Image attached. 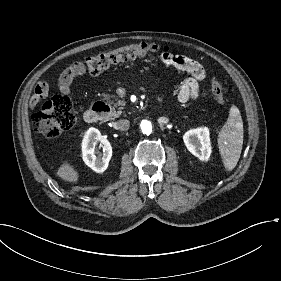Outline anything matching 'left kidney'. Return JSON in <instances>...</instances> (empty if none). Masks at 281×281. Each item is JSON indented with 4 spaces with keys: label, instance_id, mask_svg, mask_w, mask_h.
Segmentation results:
<instances>
[{
    "label": "left kidney",
    "instance_id": "1",
    "mask_svg": "<svg viewBox=\"0 0 281 281\" xmlns=\"http://www.w3.org/2000/svg\"><path fill=\"white\" fill-rule=\"evenodd\" d=\"M187 149L201 161H208L211 155V142L208 127H198L188 130L183 135Z\"/></svg>",
    "mask_w": 281,
    "mask_h": 281
}]
</instances>
